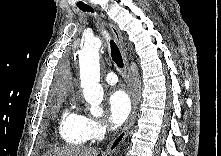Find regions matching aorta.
<instances>
[{
  "mask_svg": "<svg viewBox=\"0 0 221 156\" xmlns=\"http://www.w3.org/2000/svg\"><path fill=\"white\" fill-rule=\"evenodd\" d=\"M102 40L92 37L85 41L79 52L81 87L85 100L90 104V112L95 117L103 114V88L100 85L99 49Z\"/></svg>",
  "mask_w": 221,
  "mask_h": 156,
  "instance_id": "aorta-1",
  "label": "aorta"
}]
</instances>
